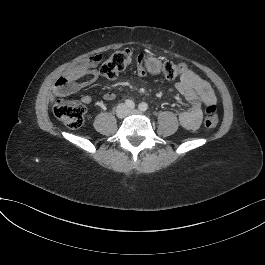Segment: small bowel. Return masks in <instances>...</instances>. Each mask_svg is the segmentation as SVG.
<instances>
[{"label": "small bowel", "mask_w": 265, "mask_h": 265, "mask_svg": "<svg viewBox=\"0 0 265 265\" xmlns=\"http://www.w3.org/2000/svg\"><path fill=\"white\" fill-rule=\"evenodd\" d=\"M81 74L88 75L89 78L82 82H73V79L69 85L64 89L60 90L57 86L54 89V97H63L66 95L74 94L82 90L83 88L92 84L95 79L99 76V72L96 69H88L82 71ZM137 74L141 77H146L148 74L147 69L143 65L142 61L139 60L137 67ZM177 91L187 100L189 108L184 109L179 113V122L182 127L188 130H196L200 127L202 122V107L210 103L216 102V96L211 88L210 84L198 76L193 71L180 76L179 81L175 84ZM103 99L107 102H111L115 99L113 92H106L103 95ZM92 101L90 95H83L81 102L89 104Z\"/></svg>", "instance_id": "obj_1"}]
</instances>
